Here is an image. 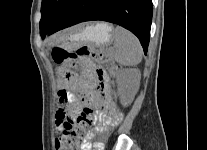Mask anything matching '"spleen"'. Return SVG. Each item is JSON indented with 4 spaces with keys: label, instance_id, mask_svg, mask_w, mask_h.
<instances>
[{
    "label": "spleen",
    "instance_id": "3e777b00",
    "mask_svg": "<svg viewBox=\"0 0 207 150\" xmlns=\"http://www.w3.org/2000/svg\"><path fill=\"white\" fill-rule=\"evenodd\" d=\"M115 60L124 66H136L142 60L143 50L136 36L117 26L114 30Z\"/></svg>",
    "mask_w": 207,
    "mask_h": 150
}]
</instances>
